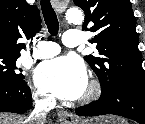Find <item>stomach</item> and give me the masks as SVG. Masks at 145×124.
<instances>
[{"label": "stomach", "instance_id": "1", "mask_svg": "<svg viewBox=\"0 0 145 124\" xmlns=\"http://www.w3.org/2000/svg\"><path fill=\"white\" fill-rule=\"evenodd\" d=\"M124 121L114 116L100 117L97 119H87L82 121H76L70 124H123Z\"/></svg>", "mask_w": 145, "mask_h": 124}]
</instances>
